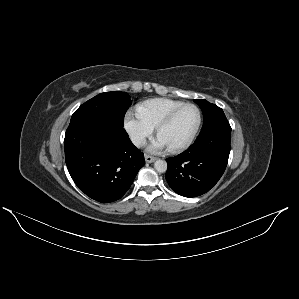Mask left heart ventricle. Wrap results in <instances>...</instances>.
Listing matches in <instances>:
<instances>
[{"label":"left heart ventricle","instance_id":"obj_1","mask_svg":"<svg viewBox=\"0 0 299 299\" xmlns=\"http://www.w3.org/2000/svg\"><path fill=\"white\" fill-rule=\"evenodd\" d=\"M198 121V113L193 107L182 109L173 121L160 133L169 147L184 143L193 133Z\"/></svg>","mask_w":299,"mask_h":299}]
</instances>
